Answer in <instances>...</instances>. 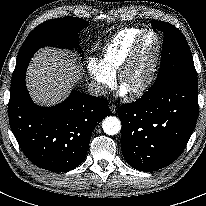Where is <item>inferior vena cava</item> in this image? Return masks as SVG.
<instances>
[{
  "label": "inferior vena cava",
  "instance_id": "inferior-vena-cava-1",
  "mask_svg": "<svg viewBox=\"0 0 206 206\" xmlns=\"http://www.w3.org/2000/svg\"><path fill=\"white\" fill-rule=\"evenodd\" d=\"M88 92L93 96H104L107 94V86L98 82H92L88 85Z\"/></svg>",
  "mask_w": 206,
  "mask_h": 206
}]
</instances>
